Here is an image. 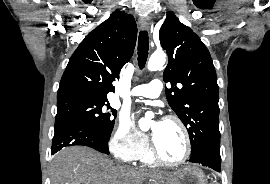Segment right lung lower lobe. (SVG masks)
I'll use <instances>...</instances> for the list:
<instances>
[{"label":"right lung lower lobe","instance_id":"obj_1","mask_svg":"<svg viewBox=\"0 0 270 184\" xmlns=\"http://www.w3.org/2000/svg\"><path fill=\"white\" fill-rule=\"evenodd\" d=\"M108 141L90 127L76 122L55 123V134L52 142V154L68 146H88L99 152L108 154Z\"/></svg>","mask_w":270,"mask_h":184}]
</instances>
